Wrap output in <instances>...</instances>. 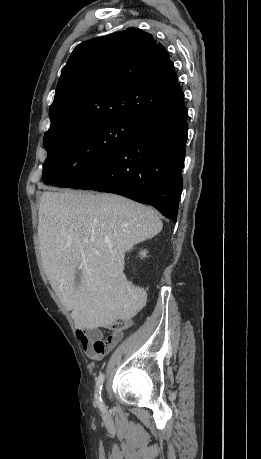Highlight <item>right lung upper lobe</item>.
<instances>
[{
    "mask_svg": "<svg viewBox=\"0 0 261 459\" xmlns=\"http://www.w3.org/2000/svg\"><path fill=\"white\" fill-rule=\"evenodd\" d=\"M183 97L164 46L130 28L73 50L62 69L45 134L78 133L114 120L141 124Z\"/></svg>",
    "mask_w": 261,
    "mask_h": 459,
    "instance_id": "right-lung-upper-lobe-1",
    "label": "right lung upper lobe"
}]
</instances>
